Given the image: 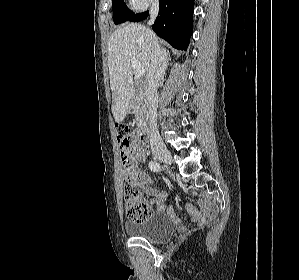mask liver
I'll list each match as a JSON object with an SVG mask.
<instances>
[{
  "mask_svg": "<svg viewBox=\"0 0 299 280\" xmlns=\"http://www.w3.org/2000/svg\"><path fill=\"white\" fill-rule=\"evenodd\" d=\"M154 33L147 27L131 23L115 30L108 42V66L112 91V114L121 123L132 105L134 81L131 59L148 70ZM158 43V41H157Z\"/></svg>",
  "mask_w": 299,
  "mask_h": 280,
  "instance_id": "6515ba94",
  "label": "liver"
}]
</instances>
